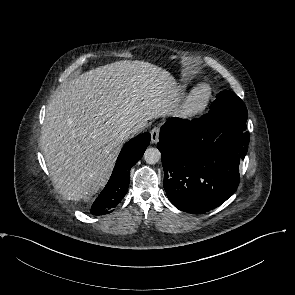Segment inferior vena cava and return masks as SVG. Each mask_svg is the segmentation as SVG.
Listing matches in <instances>:
<instances>
[{
  "label": "inferior vena cava",
  "instance_id": "1",
  "mask_svg": "<svg viewBox=\"0 0 295 295\" xmlns=\"http://www.w3.org/2000/svg\"><path fill=\"white\" fill-rule=\"evenodd\" d=\"M138 130H140L139 126H130L125 128L118 136V138L121 141H124L125 139H127L131 134L136 133Z\"/></svg>",
  "mask_w": 295,
  "mask_h": 295
}]
</instances>
